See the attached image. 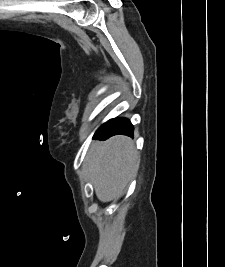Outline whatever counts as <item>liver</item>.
Returning <instances> with one entry per match:
<instances>
[{"label": "liver", "mask_w": 225, "mask_h": 267, "mask_svg": "<svg viewBox=\"0 0 225 267\" xmlns=\"http://www.w3.org/2000/svg\"><path fill=\"white\" fill-rule=\"evenodd\" d=\"M140 156L133 141L114 136L94 142L82 166V177L92 182L97 198L110 202L119 198L139 169Z\"/></svg>", "instance_id": "1"}]
</instances>
